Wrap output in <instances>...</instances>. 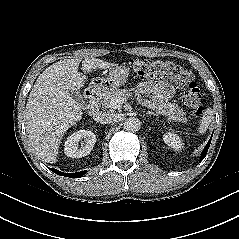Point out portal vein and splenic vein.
Segmentation results:
<instances>
[{
    "label": "portal vein and splenic vein",
    "mask_w": 239,
    "mask_h": 239,
    "mask_svg": "<svg viewBox=\"0 0 239 239\" xmlns=\"http://www.w3.org/2000/svg\"><path fill=\"white\" fill-rule=\"evenodd\" d=\"M126 101V98L124 97H117L115 99H113L110 103H111V107L113 109H117L119 108L124 102Z\"/></svg>",
    "instance_id": "18ae733b"
}]
</instances>
